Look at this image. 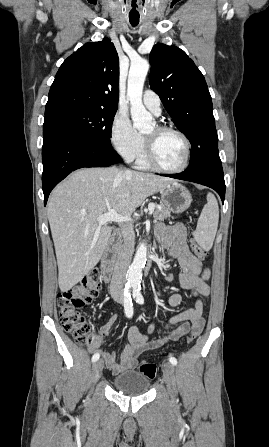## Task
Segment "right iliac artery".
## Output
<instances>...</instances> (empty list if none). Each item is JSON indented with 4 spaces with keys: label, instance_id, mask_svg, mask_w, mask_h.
<instances>
[{
    "label": "right iliac artery",
    "instance_id": "obj_1",
    "mask_svg": "<svg viewBox=\"0 0 269 447\" xmlns=\"http://www.w3.org/2000/svg\"><path fill=\"white\" fill-rule=\"evenodd\" d=\"M133 285L132 284H126L125 285V289H124V310H125V315L128 318H131L133 315V304H132V299H131V294H130V290L131 287ZM99 354L96 353L93 355L92 357V362H96L99 359Z\"/></svg>",
    "mask_w": 269,
    "mask_h": 447
}]
</instances>
